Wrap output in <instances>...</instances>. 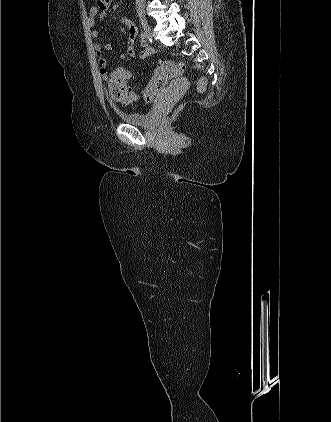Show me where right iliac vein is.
<instances>
[{
	"instance_id": "right-iliac-vein-1",
	"label": "right iliac vein",
	"mask_w": 331,
	"mask_h": 422,
	"mask_svg": "<svg viewBox=\"0 0 331 422\" xmlns=\"http://www.w3.org/2000/svg\"><path fill=\"white\" fill-rule=\"evenodd\" d=\"M140 22H141L142 28H143L146 36L152 37V32H151L148 20L145 17V15H140Z\"/></svg>"
}]
</instances>
